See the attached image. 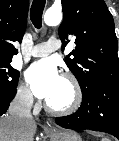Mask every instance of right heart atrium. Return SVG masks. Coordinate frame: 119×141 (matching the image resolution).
Returning <instances> with one entry per match:
<instances>
[{
	"mask_svg": "<svg viewBox=\"0 0 119 141\" xmlns=\"http://www.w3.org/2000/svg\"><path fill=\"white\" fill-rule=\"evenodd\" d=\"M16 99L21 105L25 107H32L34 105L32 91L30 87L24 82H22L17 88Z\"/></svg>",
	"mask_w": 119,
	"mask_h": 141,
	"instance_id": "obj_1",
	"label": "right heart atrium"
}]
</instances>
